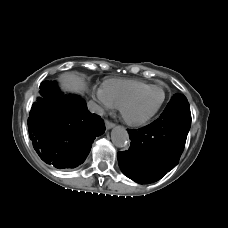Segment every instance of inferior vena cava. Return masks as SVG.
<instances>
[{"instance_id": "602c4592", "label": "inferior vena cava", "mask_w": 228, "mask_h": 228, "mask_svg": "<svg viewBox=\"0 0 228 228\" xmlns=\"http://www.w3.org/2000/svg\"><path fill=\"white\" fill-rule=\"evenodd\" d=\"M87 107L91 113H96L100 116L104 114V109L92 100L87 103Z\"/></svg>"}]
</instances>
